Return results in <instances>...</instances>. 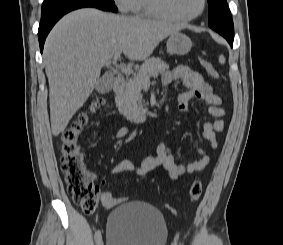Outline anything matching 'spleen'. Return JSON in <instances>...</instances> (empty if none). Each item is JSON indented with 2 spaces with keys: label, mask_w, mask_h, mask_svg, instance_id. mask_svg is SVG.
Wrapping results in <instances>:
<instances>
[{
  "label": "spleen",
  "mask_w": 283,
  "mask_h": 245,
  "mask_svg": "<svg viewBox=\"0 0 283 245\" xmlns=\"http://www.w3.org/2000/svg\"><path fill=\"white\" fill-rule=\"evenodd\" d=\"M219 62H220L221 64H224V63H225V58H224L223 55H221V56L219 57Z\"/></svg>",
  "instance_id": "1"
}]
</instances>
